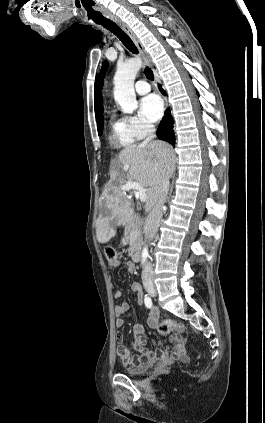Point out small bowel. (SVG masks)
I'll return each instance as SVG.
<instances>
[{
  "label": "small bowel",
  "instance_id": "obj_1",
  "mask_svg": "<svg viewBox=\"0 0 265 423\" xmlns=\"http://www.w3.org/2000/svg\"><path fill=\"white\" fill-rule=\"evenodd\" d=\"M125 264L129 273L135 271V264L132 261H123L116 259L115 261H110L108 263L109 269L113 270ZM111 289L113 290V298L118 299L121 295L120 290H118L112 283ZM131 290L137 294L138 304L142 303V292L141 286L139 283L134 282L131 284ZM129 310V304L126 302L118 303L114 308L115 314V326L116 328H121L124 325L123 315ZM159 311L157 308L150 309L149 317L147 320V326L150 328H155L159 322ZM134 337L131 342V347L123 344V335L121 333L117 334L118 348L117 352L119 357L122 359V362L127 367H137L145 362H153L156 360H171V359H182L184 351V340L177 335H174L171 340V347L168 350L154 352L148 347H146V336H145V327L141 324H136L133 326ZM131 348L136 350L139 354L133 355L131 353Z\"/></svg>",
  "mask_w": 265,
  "mask_h": 423
}]
</instances>
